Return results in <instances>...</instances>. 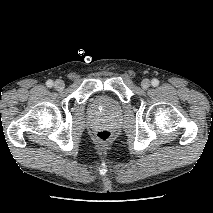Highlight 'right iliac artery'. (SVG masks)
I'll list each match as a JSON object with an SVG mask.
<instances>
[{
    "label": "right iliac artery",
    "instance_id": "82829eb1",
    "mask_svg": "<svg viewBox=\"0 0 213 213\" xmlns=\"http://www.w3.org/2000/svg\"><path fill=\"white\" fill-rule=\"evenodd\" d=\"M47 87L51 88L53 86V81L52 80H48L46 82Z\"/></svg>",
    "mask_w": 213,
    "mask_h": 213
}]
</instances>
